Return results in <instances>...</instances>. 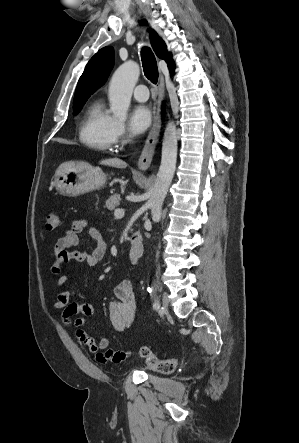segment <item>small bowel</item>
<instances>
[{"instance_id":"small-bowel-1","label":"small bowel","mask_w":299,"mask_h":443,"mask_svg":"<svg viewBox=\"0 0 299 443\" xmlns=\"http://www.w3.org/2000/svg\"><path fill=\"white\" fill-rule=\"evenodd\" d=\"M88 222L84 219L74 221L54 244V259L51 272L56 276L53 288L58 291L57 297L52 304L55 310L61 311L62 321L75 331V336L88 350L94 354L95 359L102 364L121 363L130 355L129 351L107 349L110 340L102 336L96 340L85 330L87 318L94 313L92 303H78L71 301L72 290L62 291L65 284L70 280V275L64 272V267L75 263H85L89 267L96 266L106 255L107 244L101 232L91 227L90 238L94 244L90 250H70L79 243L80 233L87 227ZM115 299L108 308V318L115 331H123L128 328L135 316L136 299L132 284L128 280L118 283L114 289ZM77 315H80L77 317Z\"/></svg>"}]
</instances>
